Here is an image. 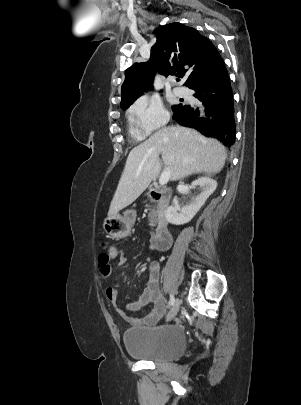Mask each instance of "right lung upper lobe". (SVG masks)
I'll return each mask as SVG.
<instances>
[{"label": "right lung upper lobe", "mask_w": 301, "mask_h": 405, "mask_svg": "<svg viewBox=\"0 0 301 405\" xmlns=\"http://www.w3.org/2000/svg\"><path fill=\"white\" fill-rule=\"evenodd\" d=\"M157 41L151 48V61L134 63L125 72L121 88V108L127 109L146 90L152 89L156 71L164 76H185L184 86L213 78L224 61L212 42L196 29L174 22L156 31Z\"/></svg>", "instance_id": "obj_1"}]
</instances>
